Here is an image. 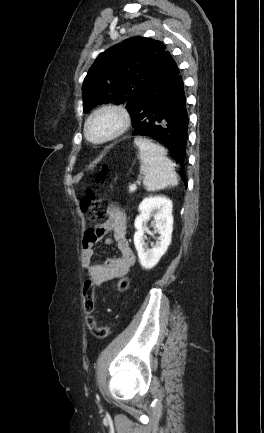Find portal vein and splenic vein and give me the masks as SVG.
Here are the masks:
<instances>
[{
    "label": "portal vein and splenic vein",
    "mask_w": 264,
    "mask_h": 433,
    "mask_svg": "<svg viewBox=\"0 0 264 433\" xmlns=\"http://www.w3.org/2000/svg\"><path fill=\"white\" fill-rule=\"evenodd\" d=\"M136 190V186L135 185H131L129 187V192H134Z\"/></svg>",
    "instance_id": "obj_1"
}]
</instances>
